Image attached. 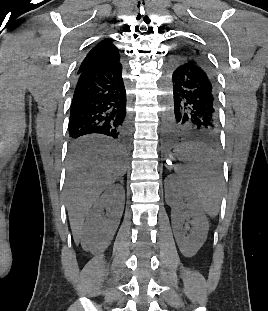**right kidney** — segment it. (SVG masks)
<instances>
[{"label": "right kidney", "mask_w": 268, "mask_h": 311, "mask_svg": "<svg viewBox=\"0 0 268 311\" xmlns=\"http://www.w3.org/2000/svg\"><path fill=\"white\" fill-rule=\"evenodd\" d=\"M125 191L119 184L110 186L97 199L87 216L81 236L84 250L104 251L111 243L124 210Z\"/></svg>", "instance_id": "1"}]
</instances>
